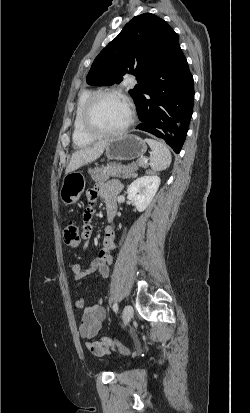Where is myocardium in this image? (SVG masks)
I'll use <instances>...</instances> for the list:
<instances>
[{"label": "myocardium", "mask_w": 250, "mask_h": 413, "mask_svg": "<svg viewBox=\"0 0 250 413\" xmlns=\"http://www.w3.org/2000/svg\"><path fill=\"white\" fill-rule=\"evenodd\" d=\"M104 96H113L122 99L128 106L130 112V118L128 123L123 126L121 129L112 131V132H104L99 130L92 121V113L96 102L104 97ZM135 121V110L132 104L128 101L125 95L115 89H101L93 92L89 98L87 99L81 117V124L83 131L90 137L94 139H108V138H115L118 136L123 135L126 133L130 127L134 124Z\"/></svg>", "instance_id": "obj_1"}]
</instances>
